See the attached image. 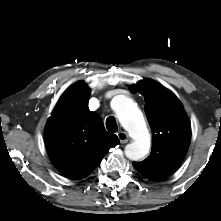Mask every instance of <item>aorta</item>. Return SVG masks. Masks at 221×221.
<instances>
[{"label": "aorta", "instance_id": "obj_1", "mask_svg": "<svg viewBox=\"0 0 221 221\" xmlns=\"http://www.w3.org/2000/svg\"><path fill=\"white\" fill-rule=\"evenodd\" d=\"M113 109L120 124L133 139L126 145L125 155L134 161L142 159L150 150V134L141 110L126 96H118L113 103Z\"/></svg>", "mask_w": 221, "mask_h": 221}]
</instances>
